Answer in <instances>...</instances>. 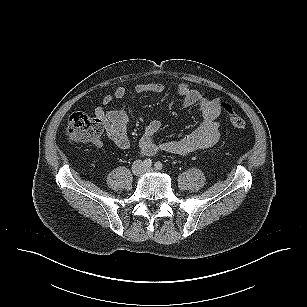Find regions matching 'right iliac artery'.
Instances as JSON below:
<instances>
[{"instance_id": "1", "label": "right iliac artery", "mask_w": 307, "mask_h": 307, "mask_svg": "<svg viewBox=\"0 0 307 307\" xmlns=\"http://www.w3.org/2000/svg\"><path fill=\"white\" fill-rule=\"evenodd\" d=\"M143 165L148 168V167H151L152 165V160L151 159H145L144 162H143Z\"/></svg>"}]
</instances>
